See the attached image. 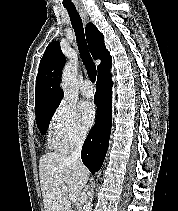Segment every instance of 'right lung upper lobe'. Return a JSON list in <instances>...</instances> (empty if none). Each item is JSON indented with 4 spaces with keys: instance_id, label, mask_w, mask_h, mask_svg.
Instances as JSON below:
<instances>
[{
    "instance_id": "cb5924a9",
    "label": "right lung upper lobe",
    "mask_w": 178,
    "mask_h": 211,
    "mask_svg": "<svg viewBox=\"0 0 178 211\" xmlns=\"http://www.w3.org/2000/svg\"><path fill=\"white\" fill-rule=\"evenodd\" d=\"M86 39L93 58L101 60L97 67L98 76L110 72L112 57L106 49L103 34L92 23L86 26ZM64 65L65 58L59 42H51L40 61L36 78V114L45 108L60 104L63 93L59 82Z\"/></svg>"
}]
</instances>
